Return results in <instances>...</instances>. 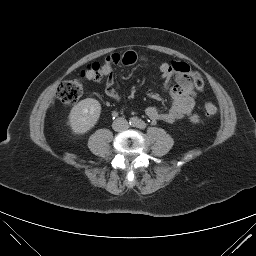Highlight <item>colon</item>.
Segmentation results:
<instances>
[{
  "label": "colon",
  "mask_w": 256,
  "mask_h": 256,
  "mask_svg": "<svg viewBox=\"0 0 256 256\" xmlns=\"http://www.w3.org/2000/svg\"><path fill=\"white\" fill-rule=\"evenodd\" d=\"M103 64L98 62L90 63L81 73L82 78L91 81H97L103 76ZM192 83L198 90H202L204 87V81L200 74L192 72ZM83 94V85L81 81L77 79L65 80L60 83L57 89V96L59 100L67 106L74 105ZM204 111L208 116H214L217 114L218 109L212 103H206Z\"/></svg>",
  "instance_id": "obj_1"
}]
</instances>
